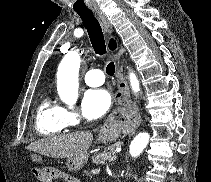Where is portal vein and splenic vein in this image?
Wrapping results in <instances>:
<instances>
[{
  "instance_id": "obj_1",
  "label": "portal vein and splenic vein",
  "mask_w": 211,
  "mask_h": 182,
  "mask_svg": "<svg viewBox=\"0 0 211 182\" xmlns=\"http://www.w3.org/2000/svg\"><path fill=\"white\" fill-rule=\"evenodd\" d=\"M116 151L119 152V151H121V149L120 148H117ZM92 172L94 174L99 173L100 172V169H94V170H92Z\"/></svg>"
}]
</instances>
